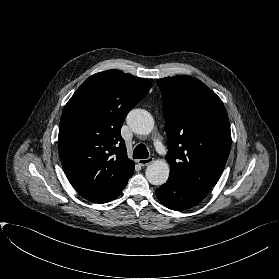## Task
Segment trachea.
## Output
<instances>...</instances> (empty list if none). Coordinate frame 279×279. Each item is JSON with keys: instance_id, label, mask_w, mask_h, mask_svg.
Instances as JSON below:
<instances>
[{"instance_id": "obj_1", "label": "trachea", "mask_w": 279, "mask_h": 279, "mask_svg": "<svg viewBox=\"0 0 279 279\" xmlns=\"http://www.w3.org/2000/svg\"><path fill=\"white\" fill-rule=\"evenodd\" d=\"M148 150L144 144H139L135 147L133 151V158L134 159H146L148 158Z\"/></svg>"}]
</instances>
